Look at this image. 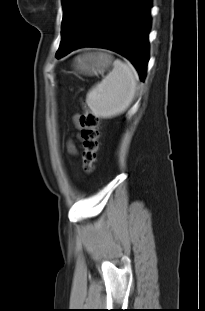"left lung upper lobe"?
Segmentation results:
<instances>
[{"label": "left lung upper lobe", "instance_id": "5c2ea615", "mask_svg": "<svg viewBox=\"0 0 205 311\" xmlns=\"http://www.w3.org/2000/svg\"><path fill=\"white\" fill-rule=\"evenodd\" d=\"M62 41L57 54L78 44L105 17L116 0H62Z\"/></svg>", "mask_w": 205, "mask_h": 311}]
</instances>
